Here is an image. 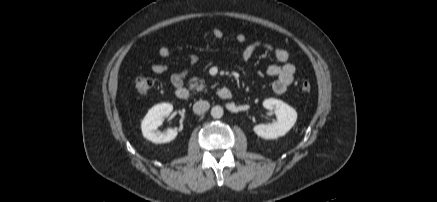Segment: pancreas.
<instances>
[{
  "mask_svg": "<svg viewBox=\"0 0 437 202\" xmlns=\"http://www.w3.org/2000/svg\"><path fill=\"white\" fill-rule=\"evenodd\" d=\"M190 88L196 89L197 91H202L205 89V81L203 79L194 77L190 80Z\"/></svg>",
  "mask_w": 437,
  "mask_h": 202,
  "instance_id": "obj_1",
  "label": "pancreas"
}]
</instances>
